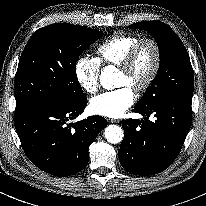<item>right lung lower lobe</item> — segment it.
<instances>
[{"instance_id":"98d812e1","label":"right lung lower lobe","mask_w":206,"mask_h":206,"mask_svg":"<svg viewBox=\"0 0 206 206\" xmlns=\"http://www.w3.org/2000/svg\"><path fill=\"white\" fill-rule=\"evenodd\" d=\"M86 97L78 102H47L20 113L14 123L24 152L42 171L53 176H70L86 167L88 148L108 122L90 116L68 123L85 109Z\"/></svg>"}]
</instances>
